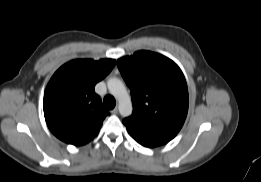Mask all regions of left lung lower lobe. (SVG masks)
I'll return each mask as SVG.
<instances>
[{"label": "left lung lower lobe", "instance_id": "0a47b994", "mask_svg": "<svg viewBox=\"0 0 261 182\" xmlns=\"http://www.w3.org/2000/svg\"><path fill=\"white\" fill-rule=\"evenodd\" d=\"M143 146H145V145H143ZM146 147H155V146H146Z\"/></svg>", "mask_w": 261, "mask_h": 182}]
</instances>
